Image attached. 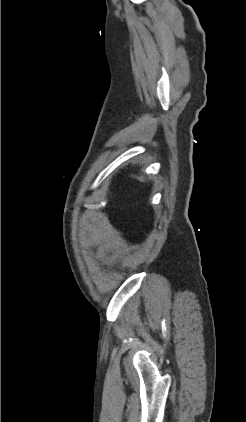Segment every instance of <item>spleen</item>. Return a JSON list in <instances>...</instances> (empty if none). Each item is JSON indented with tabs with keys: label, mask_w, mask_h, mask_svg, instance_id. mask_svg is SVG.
I'll return each mask as SVG.
<instances>
[{
	"label": "spleen",
	"mask_w": 246,
	"mask_h": 422,
	"mask_svg": "<svg viewBox=\"0 0 246 422\" xmlns=\"http://www.w3.org/2000/svg\"><path fill=\"white\" fill-rule=\"evenodd\" d=\"M138 180H140L141 182L145 181V179L143 177H138Z\"/></svg>",
	"instance_id": "3e777b00"
}]
</instances>
